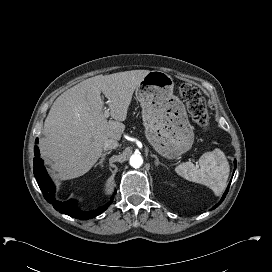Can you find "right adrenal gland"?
<instances>
[{
	"label": "right adrenal gland",
	"mask_w": 272,
	"mask_h": 272,
	"mask_svg": "<svg viewBox=\"0 0 272 272\" xmlns=\"http://www.w3.org/2000/svg\"><path fill=\"white\" fill-rule=\"evenodd\" d=\"M110 152H104L103 154H102V156H101V159H100V161L95 165V167L97 166V165H100L101 167H103V162H104V160H105V156L107 155V154H109Z\"/></svg>",
	"instance_id": "right-adrenal-gland-1"
}]
</instances>
